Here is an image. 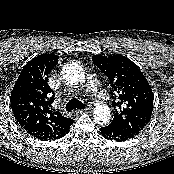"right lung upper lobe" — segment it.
<instances>
[{
	"label": "right lung upper lobe",
	"mask_w": 174,
	"mask_h": 174,
	"mask_svg": "<svg viewBox=\"0 0 174 174\" xmlns=\"http://www.w3.org/2000/svg\"><path fill=\"white\" fill-rule=\"evenodd\" d=\"M58 56L41 54L22 69L11 92V107L20 126L34 138L47 141L63 137L73 120L52 109L54 92L48 85Z\"/></svg>",
	"instance_id": "1"
}]
</instances>
